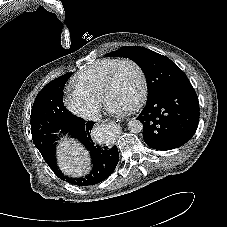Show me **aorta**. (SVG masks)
I'll use <instances>...</instances> for the list:
<instances>
[{"label": "aorta", "instance_id": "762f6f07", "mask_svg": "<svg viewBox=\"0 0 227 227\" xmlns=\"http://www.w3.org/2000/svg\"><path fill=\"white\" fill-rule=\"evenodd\" d=\"M128 130L134 134L140 133L143 130V124L137 119H132L128 123Z\"/></svg>", "mask_w": 227, "mask_h": 227}]
</instances>
